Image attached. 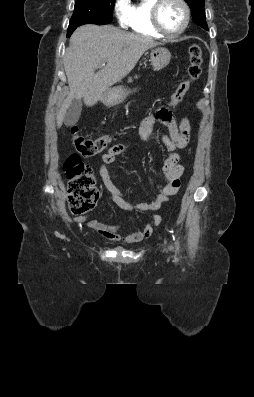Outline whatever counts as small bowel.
<instances>
[{"label": "small bowel", "instance_id": "c3829d8e", "mask_svg": "<svg viewBox=\"0 0 254 397\" xmlns=\"http://www.w3.org/2000/svg\"><path fill=\"white\" fill-rule=\"evenodd\" d=\"M157 122L168 129V134L155 135L153 133V126ZM139 134L144 142L156 140L170 152L162 168L167 183L165 185H155L158 193L152 201L131 203L124 197L123 193L116 187L112 180L113 171L108 166L116 163L117 157L126 150L128 145L118 144L110 147L102 155V164L99 167V174L103 182V191L107 193L109 198L116 205L130 213L135 211H156L164 202L168 201L171 196L177 193L181 185L180 178L184 172V166L180 163L178 151L184 148L189 142L190 123L186 117L177 121L167 108L160 107L142 120ZM90 217L91 215L79 216L75 218V221L78 223L84 222ZM160 222V216L155 215L141 231L132 232L125 236L120 234L124 227L123 224L114 225L96 219H89L87 225L98 235L110 241L135 243L150 237L154 228L157 227Z\"/></svg>", "mask_w": 254, "mask_h": 397}]
</instances>
